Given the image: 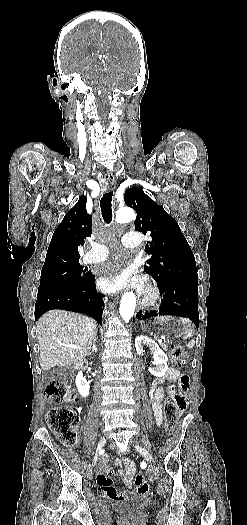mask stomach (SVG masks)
Instances as JSON below:
<instances>
[{"label":"stomach","mask_w":247,"mask_h":525,"mask_svg":"<svg viewBox=\"0 0 247 525\" xmlns=\"http://www.w3.org/2000/svg\"><path fill=\"white\" fill-rule=\"evenodd\" d=\"M141 327L154 337H164L169 340L179 337L186 330V326L174 318L165 321L142 322Z\"/></svg>","instance_id":"0dacf381"}]
</instances>
